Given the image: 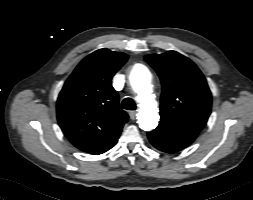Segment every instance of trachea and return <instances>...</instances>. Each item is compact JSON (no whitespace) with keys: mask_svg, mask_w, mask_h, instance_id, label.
Wrapping results in <instances>:
<instances>
[{"mask_svg":"<svg viewBox=\"0 0 253 200\" xmlns=\"http://www.w3.org/2000/svg\"><path fill=\"white\" fill-rule=\"evenodd\" d=\"M122 106L126 110H135L136 104L131 98H125L122 102Z\"/></svg>","mask_w":253,"mask_h":200,"instance_id":"trachea-1","label":"trachea"}]
</instances>
